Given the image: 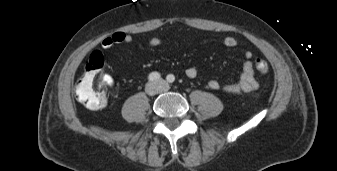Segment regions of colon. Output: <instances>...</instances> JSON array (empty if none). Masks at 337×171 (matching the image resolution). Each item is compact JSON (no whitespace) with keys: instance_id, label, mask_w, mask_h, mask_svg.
I'll return each instance as SVG.
<instances>
[{"instance_id":"colon-1","label":"colon","mask_w":337,"mask_h":171,"mask_svg":"<svg viewBox=\"0 0 337 171\" xmlns=\"http://www.w3.org/2000/svg\"><path fill=\"white\" fill-rule=\"evenodd\" d=\"M103 57L100 52L91 54L81 79L75 89L77 100L90 109H100L105 105V93L103 90L104 80L102 78ZM256 69L265 74L268 71V63L262 59L255 60Z\"/></svg>"}]
</instances>
